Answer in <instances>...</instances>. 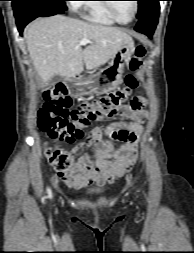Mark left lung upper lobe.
Masks as SVG:
<instances>
[{"mask_svg": "<svg viewBox=\"0 0 194 253\" xmlns=\"http://www.w3.org/2000/svg\"><path fill=\"white\" fill-rule=\"evenodd\" d=\"M138 1V15L137 18H141L142 15L150 8L154 3L159 2L160 0H137Z\"/></svg>", "mask_w": 194, "mask_h": 253, "instance_id": "1", "label": "left lung upper lobe"}]
</instances>
